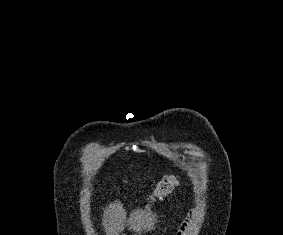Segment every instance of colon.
Returning a JSON list of instances; mask_svg holds the SVG:
<instances>
[{"mask_svg":"<svg viewBox=\"0 0 283 235\" xmlns=\"http://www.w3.org/2000/svg\"><path fill=\"white\" fill-rule=\"evenodd\" d=\"M179 184V177L177 175H168L159 181L152 194L147 198L146 205H150L156 200L170 193Z\"/></svg>","mask_w":283,"mask_h":235,"instance_id":"5ec220e1","label":"colon"}]
</instances>
